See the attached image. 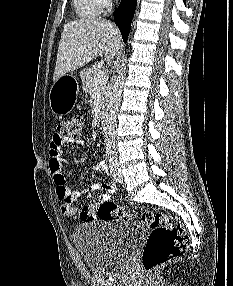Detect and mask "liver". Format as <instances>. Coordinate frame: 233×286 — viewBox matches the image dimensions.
Listing matches in <instances>:
<instances>
[{"label": "liver", "mask_w": 233, "mask_h": 286, "mask_svg": "<svg viewBox=\"0 0 233 286\" xmlns=\"http://www.w3.org/2000/svg\"><path fill=\"white\" fill-rule=\"evenodd\" d=\"M118 29L109 21L98 18L68 22L59 42L53 80L86 65L104 54L111 61L120 49Z\"/></svg>", "instance_id": "1"}]
</instances>
